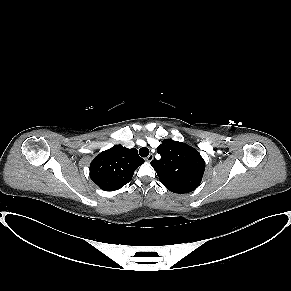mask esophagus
Returning a JSON list of instances; mask_svg holds the SVG:
<instances>
[{
	"instance_id": "esophagus-1",
	"label": "esophagus",
	"mask_w": 291,
	"mask_h": 291,
	"mask_svg": "<svg viewBox=\"0 0 291 291\" xmlns=\"http://www.w3.org/2000/svg\"><path fill=\"white\" fill-rule=\"evenodd\" d=\"M153 158H154V155H153V154H150V155H148V156L145 158V160H146L147 162H151V161L153 160Z\"/></svg>"
}]
</instances>
